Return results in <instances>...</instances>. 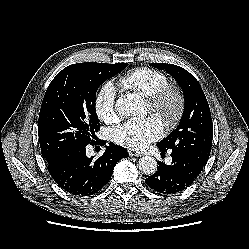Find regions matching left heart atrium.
Wrapping results in <instances>:
<instances>
[{
    "label": "left heart atrium",
    "instance_id": "left-heart-atrium-1",
    "mask_svg": "<svg viewBox=\"0 0 249 249\" xmlns=\"http://www.w3.org/2000/svg\"><path fill=\"white\" fill-rule=\"evenodd\" d=\"M164 125L161 118L151 115L142 119H133L113 132V140L126 148L142 150L163 134Z\"/></svg>",
    "mask_w": 249,
    "mask_h": 249
}]
</instances>
